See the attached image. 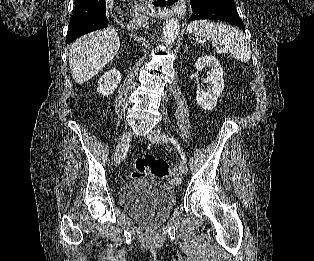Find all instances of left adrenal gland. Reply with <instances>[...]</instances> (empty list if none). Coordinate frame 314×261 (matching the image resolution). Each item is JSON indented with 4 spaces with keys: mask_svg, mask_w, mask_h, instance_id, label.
I'll return each mask as SVG.
<instances>
[{
    "mask_svg": "<svg viewBox=\"0 0 314 261\" xmlns=\"http://www.w3.org/2000/svg\"><path fill=\"white\" fill-rule=\"evenodd\" d=\"M188 50V46H187V44L185 45V51H187Z\"/></svg>",
    "mask_w": 314,
    "mask_h": 261,
    "instance_id": "a2214340",
    "label": "left adrenal gland"
}]
</instances>
